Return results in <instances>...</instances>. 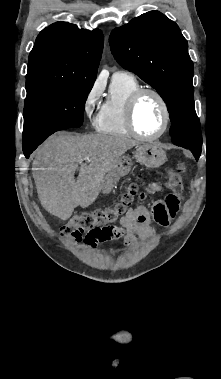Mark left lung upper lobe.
Listing matches in <instances>:
<instances>
[{
    "mask_svg": "<svg viewBox=\"0 0 221 379\" xmlns=\"http://www.w3.org/2000/svg\"><path fill=\"white\" fill-rule=\"evenodd\" d=\"M109 43L125 69L157 90L167 104L171 141L201 153L202 134L194 107L193 62L178 25L158 11H150L115 28Z\"/></svg>",
    "mask_w": 221,
    "mask_h": 379,
    "instance_id": "5c2ea615",
    "label": "left lung upper lobe"
}]
</instances>
